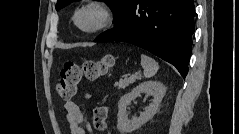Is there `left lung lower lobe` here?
Wrapping results in <instances>:
<instances>
[{
	"mask_svg": "<svg viewBox=\"0 0 239 134\" xmlns=\"http://www.w3.org/2000/svg\"><path fill=\"white\" fill-rule=\"evenodd\" d=\"M193 0H132L119 22L95 42L120 41L141 47L188 73L194 33Z\"/></svg>",
	"mask_w": 239,
	"mask_h": 134,
	"instance_id": "obj_1",
	"label": "left lung lower lobe"
}]
</instances>
